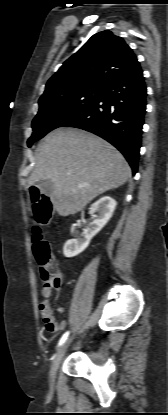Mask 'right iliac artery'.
<instances>
[{"label": "right iliac artery", "mask_w": 168, "mask_h": 415, "mask_svg": "<svg viewBox=\"0 0 168 415\" xmlns=\"http://www.w3.org/2000/svg\"><path fill=\"white\" fill-rule=\"evenodd\" d=\"M68 336H69V331L63 334V336L59 340L58 346H61L67 340Z\"/></svg>", "instance_id": "82829eb1"}]
</instances>
